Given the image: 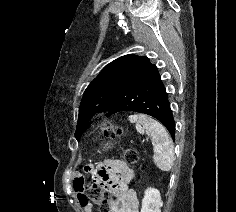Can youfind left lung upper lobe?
I'll return each instance as SVG.
<instances>
[{"mask_svg": "<svg viewBox=\"0 0 236 212\" xmlns=\"http://www.w3.org/2000/svg\"><path fill=\"white\" fill-rule=\"evenodd\" d=\"M144 57L128 54L106 65L86 88L79 107L75 132L77 140L89 127L97 112H105L131 79Z\"/></svg>", "mask_w": 236, "mask_h": 212, "instance_id": "5c2ea615", "label": "left lung upper lobe"}]
</instances>
